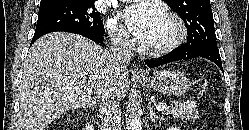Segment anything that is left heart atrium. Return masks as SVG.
<instances>
[{
  "mask_svg": "<svg viewBox=\"0 0 249 130\" xmlns=\"http://www.w3.org/2000/svg\"><path fill=\"white\" fill-rule=\"evenodd\" d=\"M121 16L129 30L146 46L154 43L164 19L161 7L152 1L135 3L126 8Z\"/></svg>",
  "mask_w": 249,
  "mask_h": 130,
  "instance_id": "left-heart-atrium-1",
  "label": "left heart atrium"
}]
</instances>
